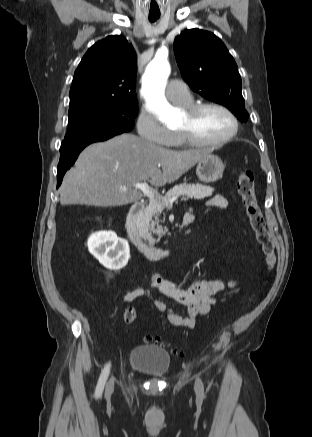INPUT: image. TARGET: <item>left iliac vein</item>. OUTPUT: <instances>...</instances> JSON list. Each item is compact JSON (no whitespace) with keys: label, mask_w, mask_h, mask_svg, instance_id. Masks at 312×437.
Returning a JSON list of instances; mask_svg holds the SVG:
<instances>
[{"label":"left iliac vein","mask_w":312,"mask_h":437,"mask_svg":"<svg viewBox=\"0 0 312 437\" xmlns=\"http://www.w3.org/2000/svg\"><path fill=\"white\" fill-rule=\"evenodd\" d=\"M195 391L200 396L203 394V387L199 380H196L195 382Z\"/></svg>","instance_id":"1"}]
</instances>
